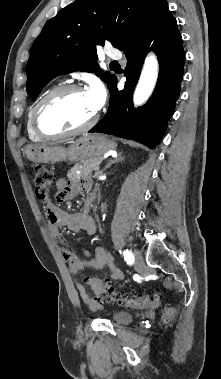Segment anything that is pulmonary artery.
Returning a JSON list of instances; mask_svg holds the SVG:
<instances>
[{
    "label": "pulmonary artery",
    "mask_w": 221,
    "mask_h": 379,
    "mask_svg": "<svg viewBox=\"0 0 221 379\" xmlns=\"http://www.w3.org/2000/svg\"><path fill=\"white\" fill-rule=\"evenodd\" d=\"M106 55L108 58L114 59V60L122 58V54L117 50H108Z\"/></svg>",
    "instance_id": "e3ab8cb5"
}]
</instances>
